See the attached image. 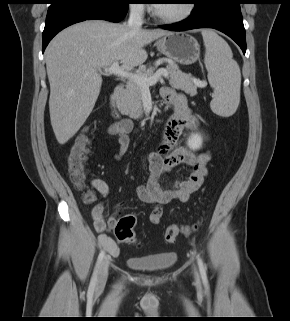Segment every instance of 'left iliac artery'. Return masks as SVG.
Returning a JSON list of instances; mask_svg holds the SVG:
<instances>
[{
  "label": "left iliac artery",
  "mask_w": 290,
  "mask_h": 321,
  "mask_svg": "<svg viewBox=\"0 0 290 321\" xmlns=\"http://www.w3.org/2000/svg\"><path fill=\"white\" fill-rule=\"evenodd\" d=\"M197 262H198V266H199V270H200V274L203 280V283L205 286L208 285V279H207V273H206V265L204 264L202 258L197 255Z\"/></svg>",
  "instance_id": "1"
}]
</instances>
